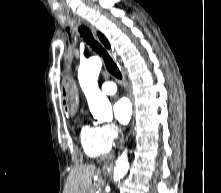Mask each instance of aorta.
Listing matches in <instances>:
<instances>
[{
	"label": "aorta",
	"mask_w": 221,
	"mask_h": 193,
	"mask_svg": "<svg viewBox=\"0 0 221 193\" xmlns=\"http://www.w3.org/2000/svg\"><path fill=\"white\" fill-rule=\"evenodd\" d=\"M102 68V61L98 57H91L83 62L78 69L80 86L86 96L88 106L93 117L99 121L112 120V107L108 98L98 87V76ZM129 169L127 150L116 162L113 179L118 182Z\"/></svg>",
	"instance_id": "aorta-1"
}]
</instances>
